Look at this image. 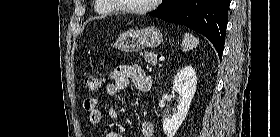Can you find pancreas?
<instances>
[{
    "label": "pancreas",
    "instance_id": "pancreas-1",
    "mask_svg": "<svg viewBox=\"0 0 280 137\" xmlns=\"http://www.w3.org/2000/svg\"><path fill=\"white\" fill-rule=\"evenodd\" d=\"M143 58L152 65L157 63V55L152 52H145Z\"/></svg>",
    "mask_w": 280,
    "mask_h": 137
}]
</instances>
